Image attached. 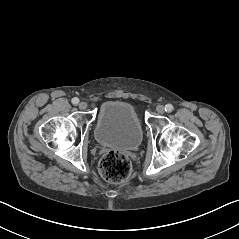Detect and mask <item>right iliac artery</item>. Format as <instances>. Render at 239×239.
Listing matches in <instances>:
<instances>
[{
  "label": "right iliac artery",
  "instance_id": "82829eb1",
  "mask_svg": "<svg viewBox=\"0 0 239 239\" xmlns=\"http://www.w3.org/2000/svg\"><path fill=\"white\" fill-rule=\"evenodd\" d=\"M71 102H72V104L77 105L78 102H79V99L77 97H75V98L72 99Z\"/></svg>",
  "mask_w": 239,
  "mask_h": 239
}]
</instances>
